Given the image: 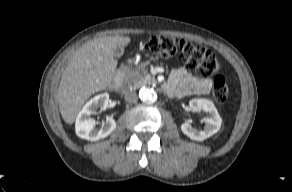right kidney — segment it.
I'll return each mask as SVG.
<instances>
[{
  "label": "right kidney",
  "instance_id": "obj_1",
  "mask_svg": "<svg viewBox=\"0 0 292 192\" xmlns=\"http://www.w3.org/2000/svg\"><path fill=\"white\" fill-rule=\"evenodd\" d=\"M109 102V94L102 93L92 99H90L79 112L76 118V134L78 137L90 141H96L110 135L116 128V122L112 117L107 118L105 122L102 123L100 129H96V121L90 117V115L95 114L97 109H106Z\"/></svg>",
  "mask_w": 292,
  "mask_h": 192
}]
</instances>
